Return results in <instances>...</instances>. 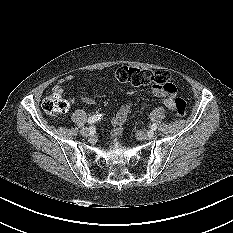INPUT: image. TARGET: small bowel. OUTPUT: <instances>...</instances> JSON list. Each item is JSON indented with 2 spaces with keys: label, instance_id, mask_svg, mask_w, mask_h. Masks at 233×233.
I'll return each mask as SVG.
<instances>
[{
  "label": "small bowel",
  "instance_id": "1",
  "mask_svg": "<svg viewBox=\"0 0 233 233\" xmlns=\"http://www.w3.org/2000/svg\"><path fill=\"white\" fill-rule=\"evenodd\" d=\"M73 80V76L68 75L58 81V83L53 87V94L62 95L64 93V84ZM151 92L153 95L159 98H163V104L170 110H174L173 95L165 90L157 87H152ZM83 102L87 104H92L93 100L88 97H82ZM131 106L130 104L122 105L116 115L114 116L112 123L114 126L113 136L119 137L122 134V125L125 122Z\"/></svg>",
  "mask_w": 233,
  "mask_h": 233
}]
</instances>
